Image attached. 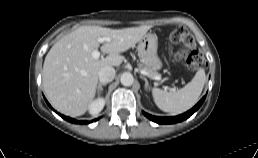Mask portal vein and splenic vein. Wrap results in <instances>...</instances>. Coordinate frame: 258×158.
I'll return each mask as SVG.
<instances>
[{"instance_id":"portal-vein-and-splenic-vein-1","label":"portal vein and splenic vein","mask_w":258,"mask_h":158,"mask_svg":"<svg viewBox=\"0 0 258 158\" xmlns=\"http://www.w3.org/2000/svg\"><path fill=\"white\" fill-rule=\"evenodd\" d=\"M105 41V38L104 37H101V38H98V42L99 43H103ZM92 56H93V58H95V59H98L99 57H100V52L98 51V50H94L93 52H92ZM141 74H143V75H145V76H148V77H150V78H152V79H154V80H161V77L160 76H152V75H150L148 72H146V71H141Z\"/></svg>"}]
</instances>
